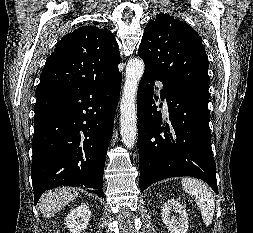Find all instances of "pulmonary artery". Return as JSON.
Segmentation results:
<instances>
[{
  "instance_id": "pulmonary-artery-1",
  "label": "pulmonary artery",
  "mask_w": 253,
  "mask_h": 233,
  "mask_svg": "<svg viewBox=\"0 0 253 233\" xmlns=\"http://www.w3.org/2000/svg\"><path fill=\"white\" fill-rule=\"evenodd\" d=\"M164 104H166V98L164 97Z\"/></svg>"
}]
</instances>
